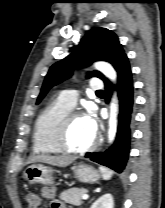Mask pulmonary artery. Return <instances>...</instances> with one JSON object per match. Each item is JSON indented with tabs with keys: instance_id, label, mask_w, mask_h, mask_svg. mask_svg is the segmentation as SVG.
I'll use <instances>...</instances> for the list:
<instances>
[{
	"instance_id": "pulmonary-artery-1",
	"label": "pulmonary artery",
	"mask_w": 165,
	"mask_h": 208,
	"mask_svg": "<svg viewBox=\"0 0 165 208\" xmlns=\"http://www.w3.org/2000/svg\"><path fill=\"white\" fill-rule=\"evenodd\" d=\"M103 83L100 79L91 81L90 89L94 92L102 91ZM78 99V93L72 90L63 91L59 96V101L69 108L75 107Z\"/></svg>"
}]
</instances>
